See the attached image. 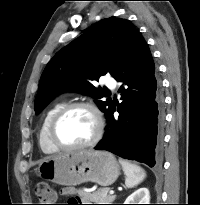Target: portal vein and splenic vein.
Segmentation results:
<instances>
[{
    "label": "portal vein and splenic vein",
    "mask_w": 200,
    "mask_h": 205,
    "mask_svg": "<svg viewBox=\"0 0 200 205\" xmlns=\"http://www.w3.org/2000/svg\"><path fill=\"white\" fill-rule=\"evenodd\" d=\"M109 193H110V194H114V191H113V190H110Z\"/></svg>",
    "instance_id": "18ae733b"
}]
</instances>
